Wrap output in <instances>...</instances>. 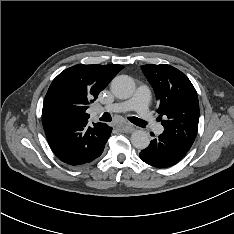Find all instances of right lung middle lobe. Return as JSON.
<instances>
[{
    "label": "right lung middle lobe",
    "mask_w": 234,
    "mask_h": 234,
    "mask_svg": "<svg viewBox=\"0 0 234 234\" xmlns=\"http://www.w3.org/2000/svg\"><path fill=\"white\" fill-rule=\"evenodd\" d=\"M57 122H58V121H56V120L54 121V123H57Z\"/></svg>",
    "instance_id": "1"
}]
</instances>
